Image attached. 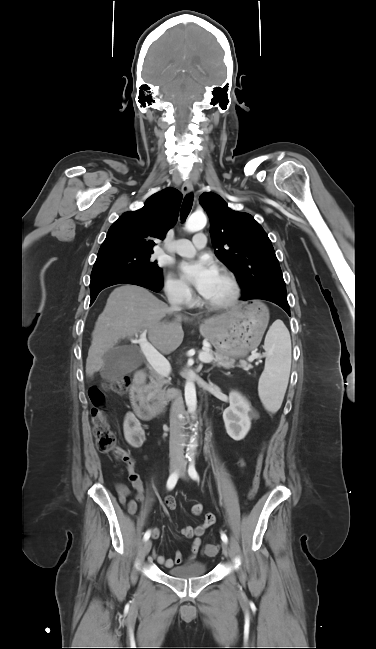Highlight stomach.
Returning a JSON list of instances; mask_svg holds the SVG:
<instances>
[{
	"label": "stomach",
	"instance_id": "0dacf381",
	"mask_svg": "<svg viewBox=\"0 0 376 649\" xmlns=\"http://www.w3.org/2000/svg\"><path fill=\"white\" fill-rule=\"evenodd\" d=\"M268 321L264 304L241 303L228 314L205 319L200 324V333L219 354L238 358L259 346Z\"/></svg>",
	"mask_w": 376,
	"mask_h": 649
}]
</instances>
